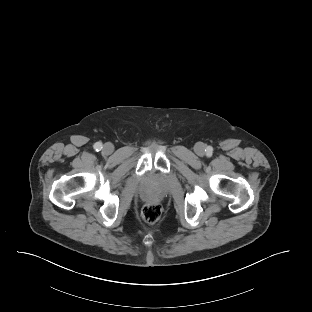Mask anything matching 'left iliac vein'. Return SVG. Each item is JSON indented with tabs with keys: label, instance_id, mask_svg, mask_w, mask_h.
<instances>
[{
	"label": "left iliac vein",
	"instance_id": "1",
	"mask_svg": "<svg viewBox=\"0 0 312 312\" xmlns=\"http://www.w3.org/2000/svg\"><path fill=\"white\" fill-rule=\"evenodd\" d=\"M194 151L197 155L202 156L205 153V145L201 142L197 143L194 147Z\"/></svg>",
	"mask_w": 312,
	"mask_h": 312
}]
</instances>
